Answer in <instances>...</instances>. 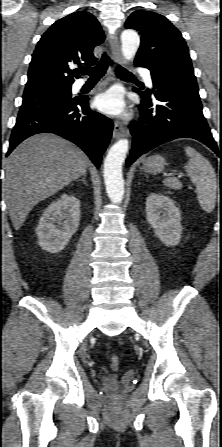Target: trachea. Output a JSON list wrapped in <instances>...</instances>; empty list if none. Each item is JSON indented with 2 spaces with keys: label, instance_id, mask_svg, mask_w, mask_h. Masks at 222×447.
Listing matches in <instances>:
<instances>
[{
  "label": "trachea",
  "instance_id": "1",
  "mask_svg": "<svg viewBox=\"0 0 222 447\" xmlns=\"http://www.w3.org/2000/svg\"><path fill=\"white\" fill-rule=\"evenodd\" d=\"M113 61L110 59V57L104 53L101 60L95 67H81L77 71L83 75H89L90 78H101L109 65H113ZM115 73L118 77L121 78H134V76L127 71L126 69L122 68L121 66L115 67Z\"/></svg>",
  "mask_w": 222,
  "mask_h": 447
}]
</instances>
